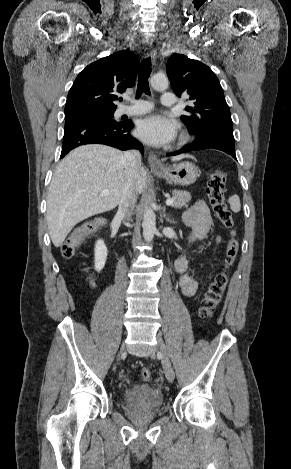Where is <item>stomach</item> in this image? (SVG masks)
Returning <instances> with one entry per match:
<instances>
[{
    "label": "stomach",
    "instance_id": "obj_1",
    "mask_svg": "<svg viewBox=\"0 0 291 469\" xmlns=\"http://www.w3.org/2000/svg\"><path fill=\"white\" fill-rule=\"evenodd\" d=\"M154 173L169 183L181 186L194 183L199 176L198 168L189 161H183L171 167L164 166L161 170L155 169Z\"/></svg>",
    "mask_w": 291,
    "mask_h": 469
}]
</instances>
